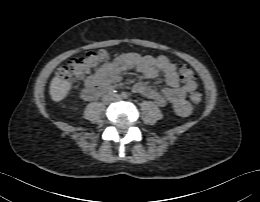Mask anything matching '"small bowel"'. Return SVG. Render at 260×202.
Returning a JSON list of instances; mask_svg holds the SVG:
<instances>
[{"instance_id": "small-bowel-1", "label": "small bowel", "mask_w": 260, "mask_h": 202, "mask_svg": "<svg viewBox=\"0 0 260 202\" xmlns=\"http://www.w3.org/2000/svg\"><path fill=\"white\" fill-rule=\"evenodd\" d=\"M133 68L146 79H154L161 72L167 85L166 88L159 91L145 85L143 82H137L132 87L134 93L151 99L160 107L170 103L177 114L182 117L190 115L191 107L185 101V96L194 91L197 84L192 81L181 85L175 64L165 55L121 54L101 66L86 80V85L87 87L109 85L117 80L123 71Z\"/></svg>"}]
</instances>
